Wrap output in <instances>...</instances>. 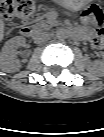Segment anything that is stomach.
<instances>
[{"mask_svg":"<svg viewBox=\"0 0 104 137\" xmlns=\"http://www.w3.org/2000/svg\"><path fill=\"white\" fill-rule=\"evenodd\" d=\"M59 1L68 7H78L81 4L80 0H59Z\"/></svg>","mask_w":104,"mask_h":137,"instance_id":"0dacf381","label":"stomach"}]
</instances>
